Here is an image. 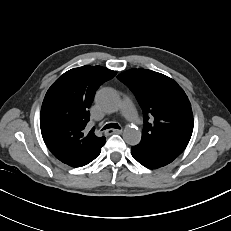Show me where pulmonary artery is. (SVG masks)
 I'll return each instance as SVG.
<instances>
[{
	"label": "pulmonary artery",
	"instance_id": "1",
	"mask_svg": "<svg viewBox=\"0 0 231 231\" xmlns=\"http://www.w3.org/2000/svg\"><path fill=\"white\" fill-rule=\"evenodd\" d=\"M121 113L122 115L129 120L136 119V111L132 101L129 98H124L121 104Z\"/></svg>",
	"mask_w": 231,
	"mask_h": 231
}]
</instances>
